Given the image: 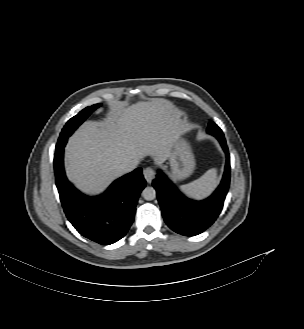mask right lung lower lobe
I'll return each instance as SVG.
<instances>
[{
	"mask_svg": "<svg viewBox=\"0 0 304 329\" xmlns=\"http://www.w3.org/2000/svg\"><path fill=\"white\" fill-rule=\"evenodd\" d=\"M64 146L55 151L56 186L64 212L74 228L84 237L102 245L120 240L130 228L136 204L146 186L142 169L117 179L100 196L88 197L66 178L63 164Z\"/></svg>",
	"mask_w": 304,
	"mask_h": 329,
	"instance_id": "obj_1",
	"label": "right lung lower lobe"
}]
</instances>
